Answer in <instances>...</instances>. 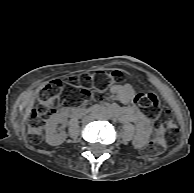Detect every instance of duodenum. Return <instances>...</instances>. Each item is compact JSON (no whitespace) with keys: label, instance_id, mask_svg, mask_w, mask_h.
Segmentation results:
<instances>
[{"label":"duodenum","instance_id":"410a0bca","mask_svg":"<svg viewBox=\"0 0 194 193\" xmlns=\"http://www.w3.org/2000/svg\"><path fill=\"white\" fill-rule=\"evenodd\" d=\"M65 115L70 116V117H77L83 113L86 112V110L84 109H80L77 107H67L65 109H63L62 111Z\"/></svg>","mask_w":194,"mask_h":193}]
</instances>
